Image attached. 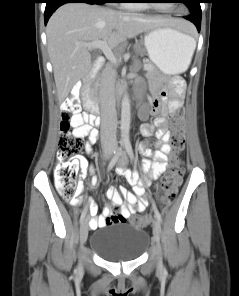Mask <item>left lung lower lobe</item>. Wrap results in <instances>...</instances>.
<instances>
[{
  "mask_svg": "<svg viewBox=\"0 0 239 296\" xmlns=\"http://www.w3.org/2000/svg\"><path fill=\"white\" fill-rule=\"evenodd\" d=\"M185 19L191 21L192 23H194L198 29V31H200V26H201V18L195 17L193 15L188 14L187 16L184 17Z\"/></svg>",
  "mask_w": 239,
  "mask_h": 296,
  "instance_id": "0a47b994",
  "label": "left lung lower lobe"
}]
</instances>
